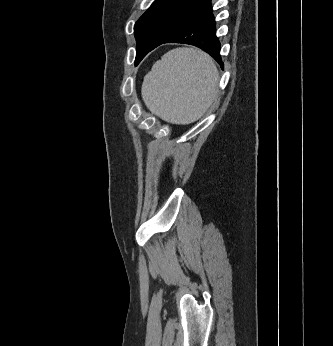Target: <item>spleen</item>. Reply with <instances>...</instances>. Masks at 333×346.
<instances>
[{
	"mask_svg": "<svg viewBox=\"0 0 333 346\" xmlns=\"http://www.w3.org/2000/svg\"><path fill=\"white\" fill-rule=\"evenodd\" d=\"M219 72L213 59L194 48H176L145 75L142 98L163 120L189 124L200 119L218 94Z\"/></svg>",
	"mask_w": 333,
	"mask_h": 346,
	"instance_id": "1",
	"label": "spleen"
}]
</instances>
